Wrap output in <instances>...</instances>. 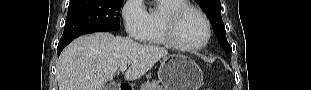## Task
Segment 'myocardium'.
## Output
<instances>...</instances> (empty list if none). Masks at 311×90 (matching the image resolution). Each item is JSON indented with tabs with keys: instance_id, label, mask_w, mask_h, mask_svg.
I'll return each instance as SVG.
<instances>
[{
	"instance_id": "myocardium-1",
	"label": "myocardium",
	"mask_w": 311,
	"mask_h": 90,
	"mask_svg": "<svg viewBox=\"0 0 311 90\" xmlns=\"http://www.w3.org/2000/svg\"><path fill=\"white\" fill-rule=\"evenodd\" d=\"M188 12L197 13L204 21L206 28V36L204 40L199 44L192 46L184 45L179 40L177 35V28L179 22L182 17ZM162 26L164 36L168 45L182 52H194L203 49L209 43L212 34L211 23L207 15L202 10L190 4L182 5L166 13L162 20Z\"/></svg>"
}]
</instances>
